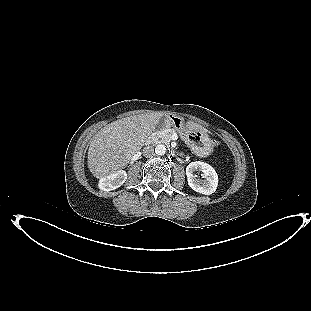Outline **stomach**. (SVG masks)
<instances>
[{"label": "stomach", "instance_id": "stomach-1", "mask_svg": "<svg viewBox=\"0 0 311 311\" xmlns=\"http://www.w3.org/2000/svg\"><path fill=\"white\" fill-rule=\"evenodd\" d=\"M165 119L166 122L161 127L172 126L186 139L188 146L197 156L206 157L213 152L214 144L207 133L191 129L180 117L167 115Z\"/></svg>", "mask_w": 311, "mask_h": 311}]
</instances>
